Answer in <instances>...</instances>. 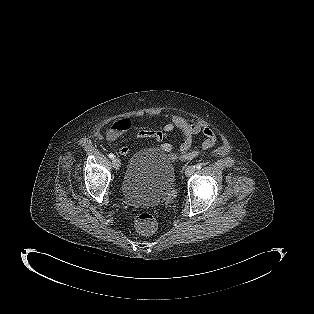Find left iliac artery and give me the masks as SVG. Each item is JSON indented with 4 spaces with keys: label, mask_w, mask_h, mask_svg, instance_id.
Returning a JSON list of instances; mask_svg holds the SVG:
<instances>
[{
    "label": "left iliac artery",
    "mask_w": 314,
    "mask_h": 314,
    "mask_svg": "<svg viewBox=\"0 0 314 314\" xmlns=\"http://www.w3.org/2000/svg\"><path fill=\"white\" fill-rule=\"evenodd\" d=\"M196 168H197V169H201V168H202V165H201V164H197V165H196Z\"/></svg>",
    "instance_id": "1"
}]
</instances>
